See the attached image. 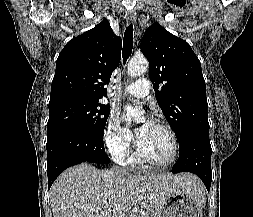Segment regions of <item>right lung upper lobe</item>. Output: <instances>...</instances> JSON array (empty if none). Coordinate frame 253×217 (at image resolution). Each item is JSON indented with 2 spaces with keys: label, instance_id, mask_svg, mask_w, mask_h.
Listing matches in <instances>:
<instances>
[{
  "label": "right lung upper lobe",
  "instance_id": "1",
  "mask_svg": "<svg viewBox=\"0 0 253 217\" xmlns=\"http://www.w3.org/2000/svg\"><path fill=\"white\" fill-rule=\"evenodd\" d=\"M121 38L107 20L71 39L59 54L50 102L67 98L100 100L121 59Z\"/></svg>",
  "mask_w": 253,
  "mask_h": 217
}]
</instances>
